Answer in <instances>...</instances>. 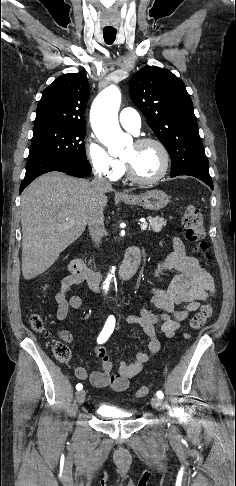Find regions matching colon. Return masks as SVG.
<instances>
[{
  "label": "colon",
  "mask_w": 236,
  "mask_h": 486,
  "mask_svg": "<svg viewBox=\"0 0 236 486\" xmlns=\"http://www.w3.org/2000/svg\"><path fill=\"white\" fill-rule=\"evenodd\" d=\"M182 223L185 229L186 238L194 243V249L200 253L203 259L208 258L207 242L205 240L204 217L201 210L195 205H188L182 214ZM213 313V308L210 304H204L200 310L194 314L190 320V328L192 330H199L205 326ZM30 323L34 331L43 332L44 324L42 317L38 314H33L30 317ZM54 354L61 362H67L70 359L71 352L68 346L58 341L54 345ZM150 386H142L136 392L137 398H142L150 392Z\"/></svg>",
  "instance_id": "obj_1"
}]
</instances>
